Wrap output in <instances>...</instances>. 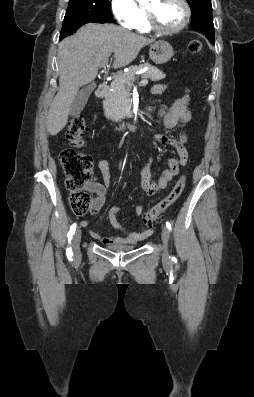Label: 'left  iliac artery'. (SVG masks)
Returning <instances> with one entry per match:
<instances>
[{"label": "left iliac artery", "mask_w": 254, "mask_h": 397, "mask_svg": "<svg viewBox=\"0 0 254 397\" xmlns=\"http://www.w3.org/2000/svg\"><path fill=\"white\" fill-rule=\"evenodd\" d=\"M166 227L171 231L172 227H171V224L169 222H166Z\"/></svg>", "instance_id": "left-iliac-artery-1"}]
</instances>
